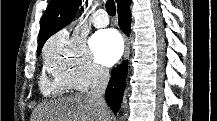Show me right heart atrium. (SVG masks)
<instances>
[{
  "instance_id": "d8ad5b80",
  "label": "right heart atrium",
  "mask_w": 217,
  "mask_h": 121,
  "mask_svg": "<svg viewBox=\"0 0 217 121\" xmlns=\"http://www.w3.org/2000/svg\"><path fill=\"white\" fill-rule=\"evenodd\" d=\"M44 54L53 77L69 88L83 92L108 78V71L94 61L85 40L78 35L66 31L55 34L46 43Z\"/></svg>"
}]
</instances>
